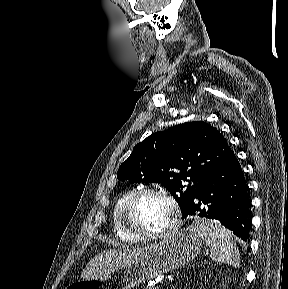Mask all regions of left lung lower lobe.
I'll return each mask as SVG.
<instances>
[{"instance_id":"0a47b994","label":"left lung lower lobe","mask_w":288,"mask_h":289,"mask_svg":"<svg viewBox=\"0 0 288 289\" xmlns=\"http://www.w3.org/2000/svg\"><path fill=\"white\" fill-rule=\"evenodd\" d=\"M248 190L241 166L229 148L222 163L182 212V217L198 215L215 219L247 241L251 226Z\"/></svg>"}]
</instances>
